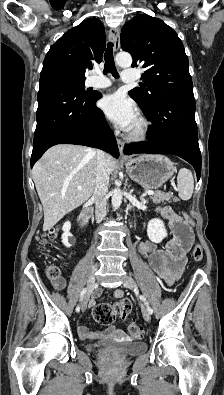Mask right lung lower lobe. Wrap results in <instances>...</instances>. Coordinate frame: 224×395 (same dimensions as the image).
<instances>
[{
  "instance_id": "right-lung-lower-lobe-1",
  "label": "right lung lower lobe",
  "mask_w": 224,
  "mask_h": 395,
  "mask_svg": "<svg viewBox=\"0 0 224 395\" xmlns=\"http://www.w3.org/2000/svg\"><path fill=\"white\" fill-rule=\"evenodd\" d=\"M100 97L98 93L81 96L54 80L40 79L31 167L56 144L97 147L119 157L115 136L96 107Z\"/></svg>"
}]
</instances>
